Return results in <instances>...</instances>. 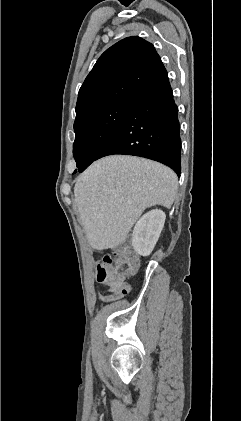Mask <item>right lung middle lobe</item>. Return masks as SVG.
<instances>
[{
	"label": "right lung middle lobe",
	"instance_id": "dd1d6c3e",
	"mask_svg": "<svg viewBox=\"0 0 241 421\" xmlns=\"http://www.w3.org/2000/svg\"><path fill=\"white\" fill-rule=\"evenodd\" d=\"M130 100L93 110L75 120L73 154L78 169H86L119 128Z\"/></svg>",
	"mask_w": 241,
	"mask_h": 421
}]
</instances>
